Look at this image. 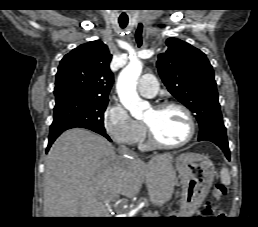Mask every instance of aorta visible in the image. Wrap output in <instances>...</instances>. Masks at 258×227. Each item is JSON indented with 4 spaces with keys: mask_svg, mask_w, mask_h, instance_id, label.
Masks as SVG:
<instances>
[{
    "mask_svg": "<svg viewBox=\"0 0 258 227\" xmlns=\"http://www.w3.org/2000/svg\"><path fill=\"white\" fill-rule=\"evenodd\" d=\"M142 68L141 61H130L120 72L116 84L120 102L134 118L142 117L143 111L148 107V103L139 97L136 90Z\"/></svg>",
    "mask_w": 258,
    "mask_h": 227,
    "instance_id": "1",
    "label": "aorta"
}]
</instances>
